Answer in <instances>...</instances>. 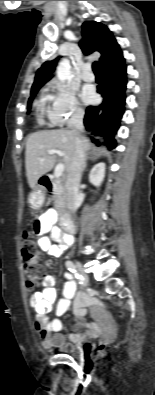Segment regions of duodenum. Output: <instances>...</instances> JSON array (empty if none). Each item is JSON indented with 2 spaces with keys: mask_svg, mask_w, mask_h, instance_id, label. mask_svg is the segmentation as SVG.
<instances>
[{
  "mask_svg": "<svg viewBox=\"0 0 155 395\" xmlns=\"http://www.w3.org/2000/svg\"><path fill=\"white\" fill-rule=\"evenodd\" d=\"M47 185L49 186V183H47ZM61 226L68 233H73L75 231V224L66 216L62 218Z\"/></svg>",
  "mask_w": 155,
  "mask_h": 395,
  "instance_id": "duodenum-1",
  "label": "duodenum"
}]
</instances>
